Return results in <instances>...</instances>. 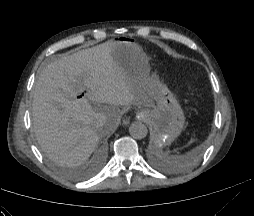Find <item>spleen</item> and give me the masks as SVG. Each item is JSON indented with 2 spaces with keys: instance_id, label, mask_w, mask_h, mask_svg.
<instances>
[{
  "instance_id": "spleen-1",
  "label": "spleen",
  "mask_w": 254,
  "mask_h": 216,
  "mask_svg": "<svg viewBox=\"0 0 254 216\" xmlns=\"http://www.w3.org/2000/svg\"><path fill=\"white\" fill-rule=\"evenodd\" d=\"M159 156L165 160L167 163H175L176 162V156L175 155H169L168 153L166 152H163V151H159Z\"/></svg>"
}]
</instances>
